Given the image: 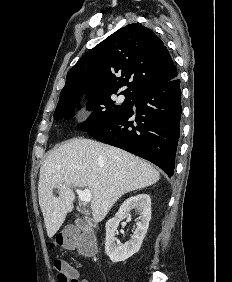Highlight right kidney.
<instances>
[{"label":"right kidney","instance_id":"obj_1","mask_svg":"<svg viewBox=\"0 0 232 282\" xmlns=\"http://www.w3.org/2000/svg\"><path fill=\"white\" fill-rule=\"evenodd\" d=\"M140 214V221L131 239L125 244L116 243L115 231L120 221L129 217L131 210ZM151 220V199L147 194H139L128 198L119 208L115 216L106 223L105 252L112 262L125 261L140 250Z\"/></svg>","mask_w":232,"mask_h":282}]
</instances>
